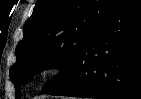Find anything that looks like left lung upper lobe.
<instances>
[{"label":"left lung upper lobe","mask_w":141,"mask_h":99,"mask_svg":"<svg viewBox=\"0 0 141 99\" xmlns=\"http://www.w3.org/2000/svg\"><path fill=\"white\" fill-rule=\"evenodd\" d=\"M119 0H38L18 43L10 78L18 85L46 66L61 73L44 90L59 83L74 66L85 43Z\"/></svg>","instance_id":"1"}]
</instances>
